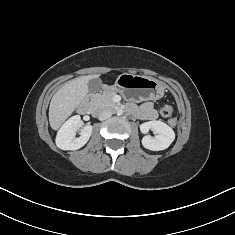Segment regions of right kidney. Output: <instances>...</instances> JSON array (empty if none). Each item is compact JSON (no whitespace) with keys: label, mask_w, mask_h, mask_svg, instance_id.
Returning a JSON list of instances; mask_svg holds the SVG:
<instances>
[{"label":"right kidney","mask_w":235,"mask_h":235,"mask_svg":"<svg viewBox=\"0 0 235 235\" xmlns=\"http://www.w3.org/2000/svg\"><path fill=\"white\" fill-rule=\"evenodd\" d=\"M80 116L75 115L67 120L57 133L56 145L62 150H77L83 147L92 133V126L87 125L81 129L80 137L75 138L79 129Z\"/></svg>","instance_id":"obj_1"}]
</instances>
